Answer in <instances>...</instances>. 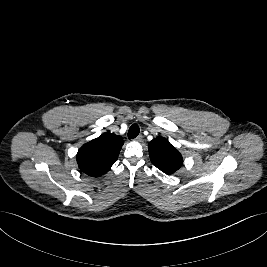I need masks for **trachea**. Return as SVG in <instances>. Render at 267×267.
<instances>
[{
	"instance_id": "1",
	"label": "trachea",
	"mask_w": 267,
	"mask_h": 267,
	"mask_svg": "<svg viewBox=\"0 0 267 267\" xmlns=\"http://www.w3.org/2000/svg\"><path fill=\"white\" fill-rule=\"evenodd\" d=\"M140 128L137 124H133L128 130V138L134 139L138 136Z\"/></svg>"
}]
</instances>
